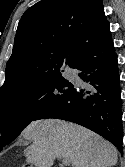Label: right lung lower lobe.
<instances>
[{
  "mask_svg": "<svg viewBox=\"0 0 125 167\" xmlns=\"http://www.w3.org/2000/svg\"><path fill=\"white\" fill-rule=\"evenodd\" d=\"M75 68L89 86H73L64 98L48 104L33 121L56 118L77 123L110 141L123 154L120 78L110 28L85 49Z\"/></svg>",
  "mask_w": 125,
  "mask_h": 167,
  "instance_id": "obj_1",
  "label": "right lung lower lobe"
}]
</instances>
